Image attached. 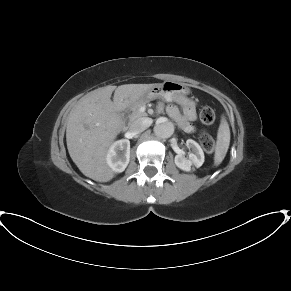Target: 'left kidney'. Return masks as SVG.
<instances>
[{
	"label": "left kidney",
	"instance_id": "obj_1",
	"mask_svg": "<svg viewBox=\"0 0 291 291\" xmlns=\"http://www.w3.org/2000/svg\"><path fill=\"white\" fill-rule=\"evenodd\" d=\"M186 146L190 150L188 157H185L184 152L179 151L175 156V164L183 171L189 172L193 167H200L204 163V152L200 145L192 140L186 141Z\"/></svg>",
	"mask_w": 291,
	"mask_h": 291
}]
</instances>
